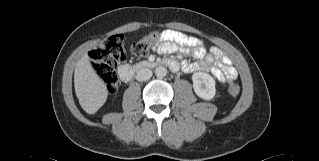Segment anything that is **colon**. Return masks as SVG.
<instances>
[{
  "mask_svg": "<svg viewBox=\"0 0 319 161\" xmlns=\"http://www.w3.org/2000/svg\"><path fill=\"white\" fill-rule=\"evenodd\" d=\"M161 42L158 33L152 32L136 41L132 46L133 53L138 57H144ZM90 61L109 93H115L118 89L116 74L117 63L125 59V47L123 37L119 34L108 37L100 46L95 48L89 55ZM229 94L238 95L240 87L232 82L229 85Z\"/></svg>",
  "mask_w": 319,
  "mask_h": 161,
  "instance_id": "5ec220e1",
  "label": "colon"
}]
</instances>
